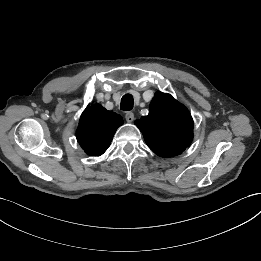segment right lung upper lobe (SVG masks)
<instances>
[{
  "label": "right lung upper lobe",
  "instance_id": "right-lung-upper-lobe-1",
  "mask_svg": "<svg viewBox=\"0 0 261 261\" xmlns=\"http://www.w3.org/2000/svg\"><path fill=\"white\" fill-rule=\"evenodd\" d=\"M122 124L120 115L99 104L88 105L81 115L76 137L87 154L100 156L109 147L116 129Z\"/></svg>",
  "mask_w": 261,
  "mask_h": 261
}]
</instances>
